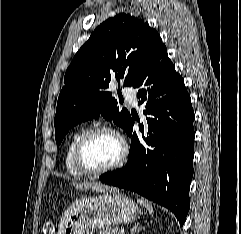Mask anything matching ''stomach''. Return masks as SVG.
<instances>
[{
	"instance_id": "stomach-1",
	"label": "stomach",
	"mask_w": 241,
	"mask_h": 234,
	"mask_svg": "<svg viewBox=\"0 0 241 234\" xmlns=\"http://www.w3.org/2000/svg\"><path fill=\"white\" fill-rule=\"evenodd\" d=\"M138 211L134 201L112 190L98 196L83 197L66 211L58 234H85L97 227L130 223Z\"/></svg>"
}]
</instances>
